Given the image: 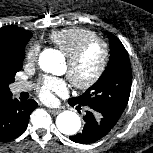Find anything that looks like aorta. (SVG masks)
<instances>
[{
	"mask_svg": "<svg viewBox=\"0 0 153 153\" xmlns=\"http://www.w3.org/2000/svg\"><path fill=\"white\" fill-rule=\"evenodd\" d=\"M61 57L52 49H47L40 54L39 66L45 72L57 75L60 73ZM58 130L65 135H74L81 128L80 117L72 111H63L56 118Z\"/></svg>",
	"mask_w": 153,
	"mask_h": 153,
	"instance_id": "obj_1",
	"label": "aorta"
}]
</instances>
